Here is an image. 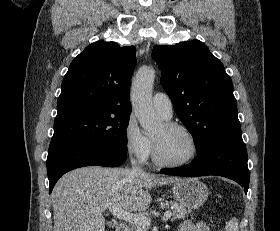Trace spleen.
Segmentation results:
<instances>
[{"instance_id": "obj_1", "label": "spleen", "mask_w": 280, "mask_h": 231, "mask_svg": "<svg viewBox=\"0 0 280 231\" xmlns=\"http://www.w3.org/2000/svg\"><path fill=\"white\" fill-rule=\"evenodd\" d=\"M226 231H238V219L232 217L226 225Z\"/></svg>"}]
</instances>
